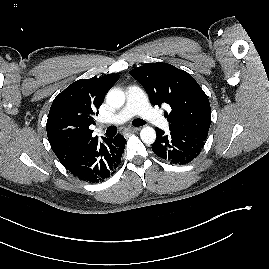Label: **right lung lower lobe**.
I'll list each match as a JSON object with an SVG mask.
<instances>
[{
    "label": "right lung lower lobe",
    "mask_w": 269,
    "mask_h": 269,
    "mask_svg": "<svg viewBox=\"0 0 269 269\" xmlns=\"http://www.w3.org/2000/svg\"><path fill=\"white\" fill-rule=\"evenodd\" d=\"M125 144L126 139L121 134L114 138H103L102 143L96 140L62 165L80 180L89 183L103 182L115 173Z\"/></svg>",
    "instance_id": "right-lung-lower-lobe-1"
}]
</instances>
